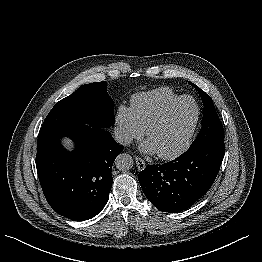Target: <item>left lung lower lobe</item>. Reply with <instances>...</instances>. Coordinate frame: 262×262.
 <instances>
[{"instance_id":"1","label":"left lung lower lobe","mask_w":262,"mask_h":262,"mask_svg":"<svg viewBox=\"0 0 262 262\" xmlns=\"http://www.w3.org/2000/svg\"><path fill=\"white\" fill-rule=\"evenodd\" d=\"M224 154L225 144L220 142L189 148L173 161L148 165L139 173L140 185L158 210H186L211 188Z\"/></svg>"}]
</instances>
